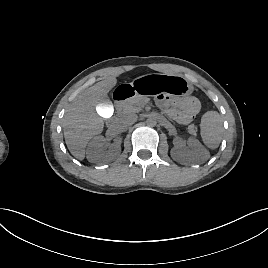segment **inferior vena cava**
<instances>
[{
	"instance_id": "602c4592",
	"label": "inferior vena cava",
	"mask_w": 268,
	"mask_h": 268,
	"mask_svg": "<svg viewBox=\"0 0 268 268\" xmlns=\"http://www.w3.org/2000/svg\"><path fill=\"white\" fill-rule=\"evenodd\" d=\"M137 121V115L133 113H128L125 114L121 119H120V124L122 127H128L132 124H134Z\"/></svg>"
}]
</instances>
